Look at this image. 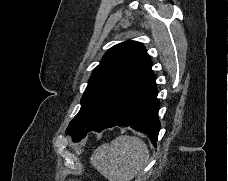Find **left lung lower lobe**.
<instances>
[{
    "label": "left lung lower lobe",
    "instance_id": "1",
    "mask_svg": "<svg viewBox=\"0 0 228 181\" xmlns=\"http://www.w3.org/2000/svg\"><path fill=\"white\" fill-rule=\"evenodd\" d=\"M155 80L156 78L151 70L134 90L121 120L111 127H131L136 131L147 134L153 145L156 146L161 125L158 119L159 101ZM104 129L99 128L89 131L101 132ZM89 131L77 133L73 136V140L83 139Z\"/></svg>",
    "mask_w": 228,
    "mask_h": 181
}]
</instances>
